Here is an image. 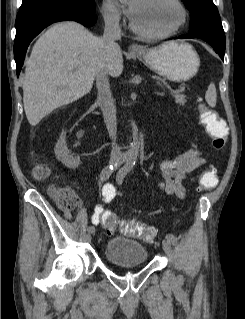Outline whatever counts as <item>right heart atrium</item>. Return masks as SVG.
I'll return each instance as SVG.
<instances>
[{
	"instance_id": "right-heart-atrium-1",
	"label": "right heart atrium",
	"mask_w": 245,
	"mask_h": 319,
	"mask_svg": "<svg viewBox=\"0 0 245 319\" xmlns=\"http://www.w3.org/2000/svg\"><path fill=\"white\" fill-rule=\"evenodd\" d=\"M102 15L106 24L112 29H119L121 26V13L112 4L105 2L102 5Z\"/></svg>"
}]
</instances>
